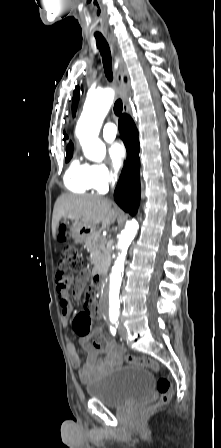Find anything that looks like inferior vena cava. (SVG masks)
<instances>
[{
  "label": "inferior vena cava",
  "instance_id": "1",
  "mask_svg": "<svg viewBox=\"0 0 221 448\" xmlns=\"http://www.w3.org/2000/svg\"><path fill=\"white\" fill-rule=\"evenodd\" d=\"M114 179H116V175H111V181L114 183Z\"/></svg>",
  "mask_w": 221,
  "mask_h": 448
}]
</instances>
